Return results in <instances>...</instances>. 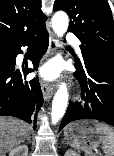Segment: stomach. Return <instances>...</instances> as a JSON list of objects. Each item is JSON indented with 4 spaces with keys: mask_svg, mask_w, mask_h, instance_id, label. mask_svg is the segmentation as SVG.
I'll return each instance as SVG.
<instances>
[{
    "mask_svg": "<svg viewBox=\"0 0 114 156\" xmlns=\"http://www.w3.org/2000/svg\"><path fill=\"white\" fill-rule=\"evenodd\" d=\"M100 122L94 120H81L69 124L64 129L67 143L72 147L83 150L89 156H95L99 145L103 142L104 135L98 130Z\"/></svg>",
    "mask_w": 114,
    "mask_h": 156,
    "instance_id": "1",
    "label": "stomach"
}]
</instances>
